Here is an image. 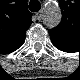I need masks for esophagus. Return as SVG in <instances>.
I'll return each instance as SVG.
<instances>
[{
  "mask_svg": "<svg viewBox=\"0 0 80 80\" xmlns=\"http://www.w3.org/2000/svg\"><path fill=\"white\" fill-rule=\"evenodd\" d=\"M42 13H43V11L41 10L40 12H38V13L36 14L38 20H41V18H42V16H43Z\"/></svg>",
  "mask_w": 80,
  "mask_h": 80,
  "instance_id": "34e87169",
  "label": "esophagus"
}]
</instances>
